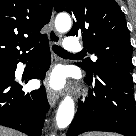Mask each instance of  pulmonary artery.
<instances>
[{"mask_svg":"<svg viewBox=\"0 0 136 136\" xmlns=\"http://www.w3.org/2000/svg\"><path fill=\"white\" fill-rule=\"evenodd\" d=\"M64 48L68 52H79L81 51L82 47L79 43V41L76 38L69 37L64 42Z\"/></svg>","mask_w":136,"mask_h":136,"instance_id":"1","label":"pulmonary artery"}]
</instances>
